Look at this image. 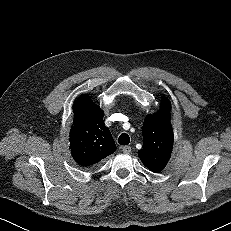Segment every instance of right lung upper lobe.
Masks as SVG:
<instances>
[{"mask_svg":"<svg viewBox=\"0 0 231 231\" xmlns=\"http://www.w3.org/2000/svg\"><path fill=\"white\" fill-rule=\"evenodd\" d=\"M73 112L69 139L71 154L80 166L91 168L114 153L116 145L102 119L104 112L88 95L75 100Z\"/></svg>","mask_w":231,"mask_h":231,"instance_id":"right-lung-upper-lobe-1","label":"right lung upper lobe"}]
</instances>
